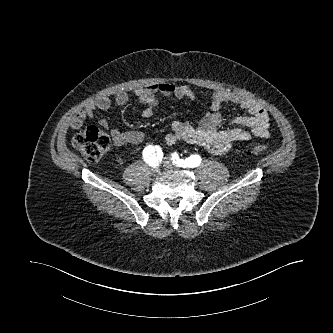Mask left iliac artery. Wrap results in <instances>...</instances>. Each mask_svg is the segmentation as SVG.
I'll list each match as a JSON object with an SVG mask.
<instances>
[{
  "label": "left iliac artery",
  "instance_id": "left-iliac-artery-1",
  "mask_svg": "<svg viewBox=\"0 0 333 333\" xmlns=\"http://www.w3.org/2000/svg\"><path fill=\"white\" fill-rule=\"evenodd\" d=\"M173 163L182 167H196L198 166L202 159L199 155H191L186 159H180L177 153L172 154Z\"/></svg>",
  "mask_w": 333,
  "mask_h": 333
}]
</instances>
